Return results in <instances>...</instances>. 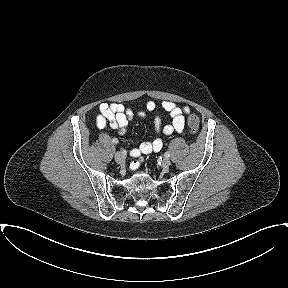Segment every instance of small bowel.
Returning a JSON list of instances; mask_svg holds the SVG:
<instances>
[{"instance_id": "c3829d8e", "label": "small bowel", "mask_w": 288, "mask_h": 288, "mask_svg": "<svg viewBox=\"0 0 288 288\" xmlns=\"http://www.w3.org/2000/svg\"><path fill=\"white\" fill-rule=\"evenodd\" d=\"M161 107L165 110L171 118V122L163 124L159 116L153 120V127L156 137L151 141H144L138 147L131 150V155L135 158L143 154H150L158 152L163 147V140L161 134L168 136L174 132H182L185 126V115L189 114L190 108L188 106L179 107L176 103L171 101H163ZM156 109V103L152 100L146 102L145 110L152 112ZM137 117H144L145 112L142 110L135 111L132 108L126 107L120 103H103L99 106V114L96 117V125L98 128L109 126L113 130L123 132L129 121Z\"/></svg>"}]
</instances>
